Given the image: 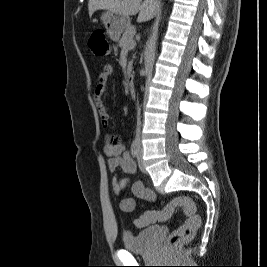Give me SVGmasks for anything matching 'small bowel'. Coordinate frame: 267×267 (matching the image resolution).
Segmentation results:
<instances>
[{"mask_svg":"<svg viewBox=\"0 0 267 267\" xmlns=\"http://www.w3.org/2000/svg\"><path fill=\"white\" fill-rule=\"evenodd\" d=\"M113 74V67L105 65L98 75L97 85L94 90V101L98 109L100 119L104 127L110 120V115L103 104V96L106 91V85L109 77ZM104 153L108 158V168L111 172L121 169L124 173L132 175L136 172V163L126 151L125 146L118 137L107 135L105 138ZM128 186V182L123 179L114 177L112 180L113 191L117 195H122ZM131 192L134 197L146 201H154L156 195L154 191L144 186L141 181H135L131 185ZM137 207L135 198L122 197L120 208L124 212H133Z\"/></svg>","mask_w":267,"mask_h":267,"instance_id":"obj_1","label":"small bowel"}]
</instances>
